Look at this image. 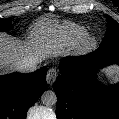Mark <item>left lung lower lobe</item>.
I'll return each instance as SVG.
<instances>
[{
	"mask_svg": "<svg viewBox=\"0 0 119 119\" xmlns=\"http://www.w3.org/2000/svg\"><path fill=\"white\" fill-rule=\"evenodd\" d=\"M112 63L119 65V51L99 48L61 61V75L53 85L57 119H119V84L104 87L96 82L98 68Z\"/></svg>",
	"mask_w": 119,
	"mask_h": 119,
	"instance_id": "0a47b994",
	"label": "left lung lower lobe"
}]
</instances>
